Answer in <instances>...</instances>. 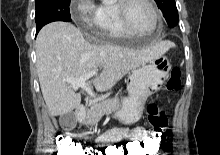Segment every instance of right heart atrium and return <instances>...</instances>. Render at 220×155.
<instances>
[{
  "label": "right heart atrium",
  "instance_id": "d8ad5b80",
  "mask_svg": "<svg viewBox=\"0 0 220 155\" xmlns=\"http://www.w3.org/2000/svg\"><path fill=\"white\" fill-rule=\"evenodd\" d=\"M73 19L80 25L91 30H99V8L92 0H78L75 4Z\"/></svg>",
  "mask_w": 220,
  "mask_h": 155
}]
</instances>
